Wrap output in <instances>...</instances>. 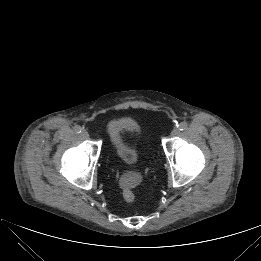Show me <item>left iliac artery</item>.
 <instances>
[{
    "label": "left iliac artery",
    "instance_id": "44dca946",
    "mask_svg": "<svg viewBox=\"0 0 261 261\" xmlns=\"http://www.w3.org/2000/svg\"><path fill=\"white\" fill-rule=\"evenodd\" d=\"M177 127L179 128L180 131H184L187 129L188 124H187V122L184 121V122H181Z\"/></svg>",
    "mask_w": 261,
    "mask_h": 261
}]
</instances>
